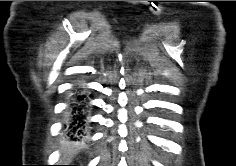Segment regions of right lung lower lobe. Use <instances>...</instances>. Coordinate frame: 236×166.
<instances>
[{
    "instance_id": "right-lung-lower-lobe-1",
    "label": "right lung lower lobe",
    "mask_w": 236,
    "mask_h": 166,
    "mask_svg": "<svg viewBox=\"0 0 236 166\" xmlns=\"http://www.w3.org/2000/svg\"><path fill=\"white\" fill-rule=\"evenodd\" d=\"M73 93L69 104L70 119L67 128L71 137L82 138L85 135L84 132L87 124L88 98L82 93L81 88H75Z\"/></svg>"
}]
</instances>
